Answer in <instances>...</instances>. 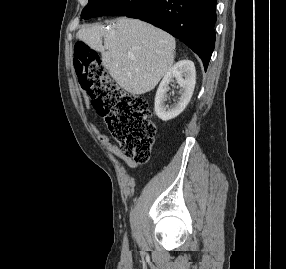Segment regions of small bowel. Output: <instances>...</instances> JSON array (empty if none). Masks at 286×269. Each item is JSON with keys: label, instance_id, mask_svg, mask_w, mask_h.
<instances>
[{"label": "small bowel", "instance_id": "small-bowel-1", "mask_svg": "<svg viewBox=\"0 0 286 269\" xmlns=\"http://www.w3.org/2000/svg\"><path fill=\"white\" fill-rule=\"evenodd\" d=\"M102 141L103 143L107 146V147H110L112 148L116 153L117 155L130 167V168H138L139 167V163L132 160L131 158L123 155L122 153L118 152L114 147H112L109 143V141L106 139V138H102Z\"/></svg>", "mask_w": 286, "mask_h": 269}]
</instances>
